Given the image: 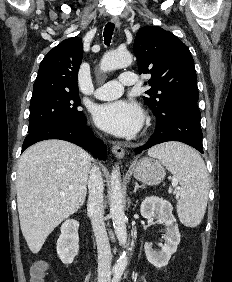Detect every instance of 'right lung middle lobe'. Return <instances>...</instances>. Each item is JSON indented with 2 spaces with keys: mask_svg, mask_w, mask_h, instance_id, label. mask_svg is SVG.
I'll list each match as a JSON object with an SVG mask.
<instances>
[{
  "mask_svg": "<svg viewBox=\"0 0 232 282\" xmlns=\"http://www.w3.org/2000/svg\"><path fill=\"white\" fill-rule=\"evenodd\" d=\"M78 91H34L30 102L29 129L36 131L61 121L82 122L85 115L79 110Z\"/></svg>",
  "mask_w": 232,
  "mask_h": 282,
  "instance_id": "1",
  "label": "right lung middle lobe"
}]
</instances>
